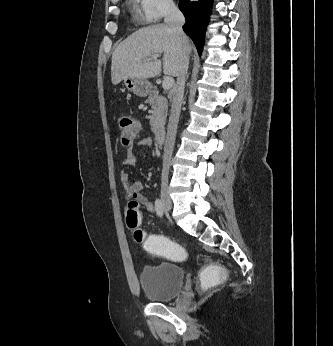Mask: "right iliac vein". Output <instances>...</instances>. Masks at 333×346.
Segmentation results:
<instances>
[{
	"mask_svg": "<svg viewBox=\"0 0 333 346\" xmlns=\"http://www.w3.org/2000/svg\"><path fill=\"white\" fill-rule=\"evenodd\" d=\"M161 201L163 204V209L168 212L171 210L172 207V201L169 196V189L167 183H162L161 185V191H160Z\"/></svg>",
	"mask_w": 333,
	"mask_h": 346,
	"instance_id": "obj_1",
	"label": "right iliac vein"
}]
</instances>
